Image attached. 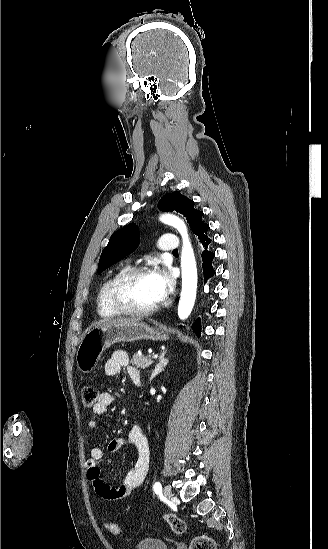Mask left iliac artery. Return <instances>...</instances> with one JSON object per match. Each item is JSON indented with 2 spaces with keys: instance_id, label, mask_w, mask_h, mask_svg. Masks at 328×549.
Instances as JSON below:
<instances>
[{
  "instance_id": "obj_1",
  "label": "left iliac artery",
  "mask_w": 328,
  "mask_h": 549,
  "mask_svg": "<svg viewBox=\"0 0 328 549\" xmlns=\"http://www.w3.org/2000/svg\"><path fill=\"white\" fill-rule=\"evenodd\" d=\"M153 489H154V492H155L156 494L161 493V491H162L161 483H160V482H156V483L154 484V486H153Z\"/></svg>"
}]
</instances>
